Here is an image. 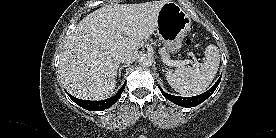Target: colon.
<instances>
[{
    "label": "colon",
    "instance_id": "5ec220e1",
    "mask_svg": "<svg viewBox=\"0 0 276 138\" xmlns=\"http://www.w3.org/2000/svg\"><path fill=\"white\" fill-rule=\"evenodd\" d=\"M191 45V41L190 40H187L186 41V46L189 47Z\"/></svg>",
    "mask_w": 276,
    "mask_h": 138
}]
</instances>
